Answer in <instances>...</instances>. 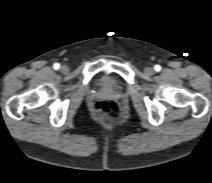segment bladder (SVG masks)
Instances as JSON below:
<instances>
[{
  "instance_id": "31cf9c89",
  "label": "bladder",
  "mask_w": 212,
  "mask_h": 183,
  "mask_svg": "<svg viewBox=\"0 0 212 183\" xmlns=\"http://www.w3.org/2000/svg\"><path fill=\"white\" fill-rule=\"evenodd\" d=\"M102 86L104 88H107V89L113 87L112 82L110 80H108V79H103L102 80Z\"/></svg>"
}]
</instances>
